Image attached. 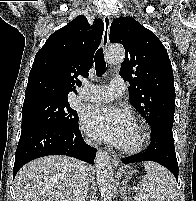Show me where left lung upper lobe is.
Here are the masks:
<instances>
[{
	"label": "left lung upper lobe",
	"instance_id": "1",
	"mask_svg": "<svg viewBox=\"0 0 196 201\" xmlns=\"http://www.w3.org/2000/svg\"><path fill=\"white\" fill-rule=\"evenodd\" d=\"M110 42L125 48L120 76L130 83L132 106L152 129L173 126L175 88L168 53L158 37L131 17L111 23Z\"/></svg>",
	"mask_w": 196,
	"mask_h": 201
}]
</instances>
